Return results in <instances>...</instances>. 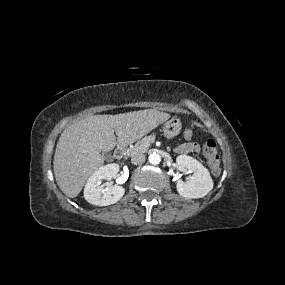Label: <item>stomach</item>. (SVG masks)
<instances>
[{
	"instance_id": "stomach-1",
	"label": "stomach",
	"mask_w": 285,
	"mask_h": 285,
	"mask_svg": "<svg viewBox=\"0 0 285 285\" xmlns=\"http://www.w3.org/2000/svg\"><path fill=\"white\" fill-rule=\"evenodd\" d=\"M181 122L178 118H171L163 126L164 133L169 137H174L180 133Z\"/></svg>"
}]
</instances>
